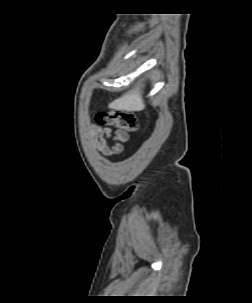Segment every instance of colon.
Listing matches in <instances>:
<instances>
[{
	"mask_svg": "<svg viewBox=\"0 0 252 303\" xmlns=\"http://www.w3.org/2000/svg\"><path fill=\"white\" fill-rule=\"evenodd\" d=\"M95 122L101 126H112L127 132H136L138 122L134 113L127 110H110L99 112L95 116Z\"/></svg>",
	"mask_w": 252,
	"mask_h": 303,
	"instance_id": "1",
	"label": "colon"
}]
</instances>
